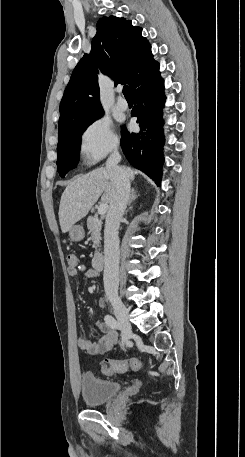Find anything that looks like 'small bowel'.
Wrapping results in <instances>:
<instances>
[{
    "instance_id": "obj_1",
    "label": "small bowel",
    "mask_w": 245,
    "mask_h": 457,
    "mask_svg": "<svg viewBox=\"0 0 245 457\" xmlns=\"http://www.w3.org/2000/svg\"><path fill=\"white\" fill-rule=\"evenodd\" d=\"M68 274L71 277H77L81 275L84 278H93L97 276V273L93 270L84 269V268H70L68 269ZM99 307L105 306V299L100 298L98 301ZM98 329L104 334L103 337L97 341L92 342L80 335L78 337V347L80 350L86 352L89 355H99L111 350L117 342L118 335L117 332L112 330L111 327L104 321H97Z\"/></svg>"
}]
</instances>
